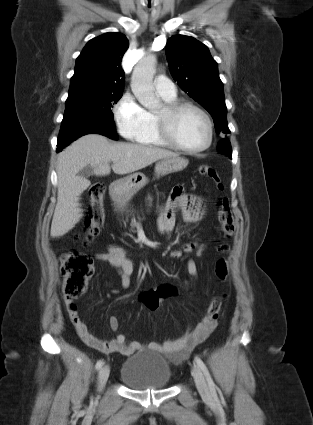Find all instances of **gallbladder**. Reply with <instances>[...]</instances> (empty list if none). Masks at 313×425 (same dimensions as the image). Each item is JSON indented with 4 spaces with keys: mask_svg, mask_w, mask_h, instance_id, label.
I'll return each mask as SVG.
<instances>
[{
    "mask_svg": "<svg viewBox=\"0 0 313 425\" xmlns=\"http://www.w3.org/2000/svg\"><path fill=\"white\" fill-rule=\"evenodd\" d=\"M79 174L81 177H89L93 174V169L90 166H86L80 170Z\"/></svg>",
    "mask_w": 313,
    "mask_h": 425,
    "instance_id": "bac80fb5",
    "label": "gallbladder"
}]
</instances>
